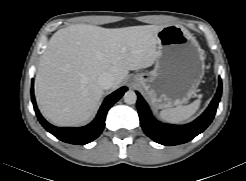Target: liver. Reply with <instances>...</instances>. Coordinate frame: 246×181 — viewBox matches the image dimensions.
Listing matches in <instances>:
<instances>
[{"mask_svg":"<svg viewBox=\"0 0 246 181\" xmlns=\"http://www.w3.org/2000/svg\"><path fill=\"white\" fill-rule=\"evenodd\" d=\"M161 29L158 25L107 29L74 24L55 32L35 79L36 100L43 116L57 126L87 122L103 96L98 77L111 73L116 88L129 70L152 66Z\"/></svg>","mask_w":246,"mask_h":181,"instance_id":"obj_1","label":"liver"}]
</instances>
